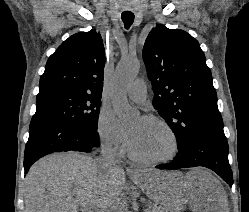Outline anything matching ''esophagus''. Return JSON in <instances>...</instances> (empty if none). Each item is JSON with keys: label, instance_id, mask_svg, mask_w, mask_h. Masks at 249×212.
<instances>
[{"label": "esophagus", "instance_id": "34e87169", "mask_svg": "<svg viewBox=\"0 0 249 212\" xmlns=\"http://www.w3.org/2000/svg\"><path fill=\"white\" fill-rule=\"evenodd\" d=\"M127 172H128V173H131V174L137 173L136 170H135L133 167H129V168L127 169Z\"/></svg>", "mask_w": 249, "mask_h": 212}]
</instances>
